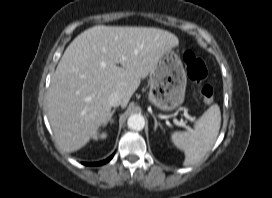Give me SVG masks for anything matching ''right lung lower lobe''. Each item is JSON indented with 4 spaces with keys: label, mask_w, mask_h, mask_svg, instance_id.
<instances>
[{
    "label": "right lung lower lobe",
    "mask_w": 272,
    "mask_h": 198,
    "mask_svg": "<svg viewBox=\"0 0 272 198\" xmlns=\"http://www.w3.org/2000/svg\"><path fill=\"white\" fill-rule=\"evenodd\" d=\"M113 155H111L109 158H107L106 160L100 161V162H96V163H84L85 165H92V166H98V165H103L105 163H107L108 161H110L112 159Z\"/></svg>",
    "instance_id": "right-lung-lower-lobe-1"
}]
</instances>
